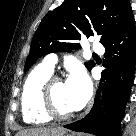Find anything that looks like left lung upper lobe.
<instances>
[{
	"label": "left lung upper lobe",
	"instance_id": "5c2ea615",
	"mask_svg": "<svg viewBox=\"0 0 136 136\" xmlns=\"http://www.w3.org/2000/svg\"><path fill=\"white\" fill-rule=\"evenodd\" d=\"M131 10L129 0H65L39 24L24 71L45 54L79 48L77 41L84 35H100L103 43ZM85 65L90 70L95 64L89 61Z\"/></svg>",
	"mask_w": 136,
	"mask_h": 136
}]
</instances>
